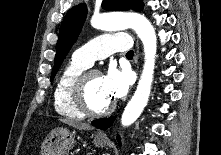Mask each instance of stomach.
<instances>
[{
	"mask_svg": "<svg viewBox=\"0 0 221 155\" xmlns=\"http://www.w3.org/2000/svg\"><path fill=\"white\" fill-rule=\"evenodd\" d=\"M95 146L104 147L107 139L96 135L93 140ZM75 145V133L67 128L52 130L41 146L40 155H67Z\"/></svg>",
	"mask_w": 221,
	"mask_h": 155,
	"instance_id": "0dacf381",
	"label": "stomach"
}]
</instances>
